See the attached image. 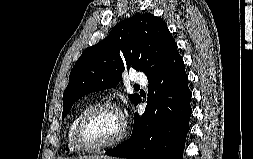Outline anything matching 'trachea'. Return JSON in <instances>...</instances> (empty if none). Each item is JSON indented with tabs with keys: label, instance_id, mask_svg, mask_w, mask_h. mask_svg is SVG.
Instances as JSON below:
<instances>
[{
	"label": "trachea",
	"instance_id": "trachea-1",
	"mask_svg": "<svg viewBox=\"0 0 253 159\" xmlns=\"http://www.w3.org/2000/svg\"><path fill=\"white\" fill-rule=\"evenodd\" d=\"M135 88H138L139 86L138 85H134Z\"/></svg>",
	"mask_w": 253,
	"mask_h": 159
}]
</instances>
